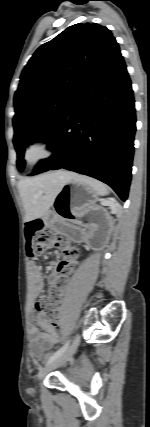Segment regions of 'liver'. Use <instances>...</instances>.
<instances>
[{
	"label": "liver",
	"mask_w": 150,
	"mask_h": 427,
	"mask_svg": "<svg viewBox=\"0 0 150 427\" xmlns=\"http://www.w3.org/2000/svg\"><path fill=\"white\" fill-rule=\"evenodd\" d=\"M76 176L75 173L60 170L20 180L18 189L25 209V220L42 217L48 212L62 186Z\"/></svg>",
	"instance_id": "1"
}]
</instances>
